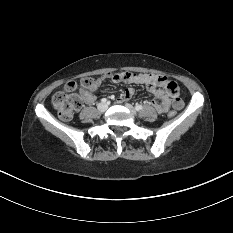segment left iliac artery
Masks as SVG:
<instances>
[{
	"label": "left iliac artery",
	"instance_id": "1",
	"mask_svg": "<svg viewBox=\"0 0 233 233\" xmlns=\"http://www.w3.org/2000/svg\"><path fill=\"white\" fill-rule=\"evenodd\" d=\"M142 108H143L142 105H139V104L135 105V109L138 110V111L141 110Z\"/></svg>",
	"mask_w": 233,
	"mask_h": 233
}]
</instances>
